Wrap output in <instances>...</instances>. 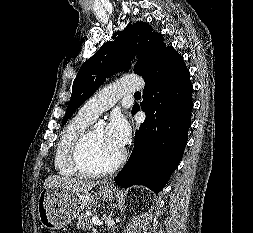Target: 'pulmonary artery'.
Segmentation results:
<instances>
[{
    "mask_svg": "<svg viewBox=\"0 0 253 233\" xmlns=\"http://www.w3.org/2000/svg\"><path fill=\"white\" fill-rule=\"evenodd\" d=\"M143 82L138 77H124L91 97L80 109V113L96 118L111 108L123 95L140 90Z\"/></svg>",
    "mask_w": 253,
    "mask_h": 233,
    "instance_id": "pulmonary-artery-1",
    "label": "pulmonary artery"
}]
</instances>
